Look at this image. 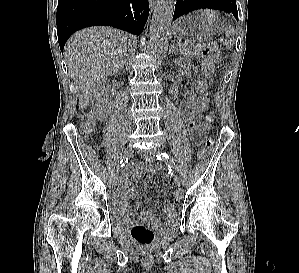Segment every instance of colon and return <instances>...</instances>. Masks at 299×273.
Instances as JSON below:
<instances>
[{
	"label": "colon",
	"instance_id": "1",
	"mask_svg": "<svg viewBox=\"0 0 299 273\" xmlns=\"http://www.w3.org/2000/svg\"><path fill=\"white\" fill-rule=\"evenodd\" d=\"M196 54L200 57H206L203 64V76L204 78H209L215 70L216 65L219 63L220 55L217 46L213 43H203L196 46ZM209 106V101L205 90H202L197 98L194 100L193 105V116L197 120H201L202 115L207 111ZM94 129V121L89 119L85 122L83 126V132L88 136ZM212 145V140L206 138L202 142V147L198 153V158L204 160L210 152ZM183 198V193L181 190H176L173 194V203L176 205L180 203ZM130 234L132 238L141 245H150L155 238L154 231L143 225L135 224L130 229Z\"/></svg>",
	"mask_w": 299,
	"mask_h": 273
}]
</instances>
